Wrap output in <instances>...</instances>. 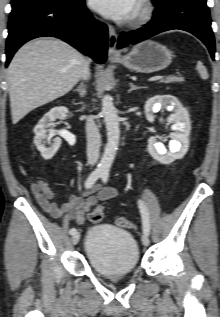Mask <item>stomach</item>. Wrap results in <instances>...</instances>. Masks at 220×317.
I'll list each match as a JSON object with an SVG mask.
<instances>
[{"label": "stomach", "mask_w": 220, "mask_h": 317, "mask_svg": "<svg viewBox=\"0 0 220 317\" xmlns=\"http://www.w3.org/2000/svg\"><path fill=\"white\" fill-rule=\"evenodd\" d=\"M114 60L130 70L148 74L167 68L172 62V52L158 42L145 40L135 45L129 54Z\"/></svg>", "instance_id": "1"}]
</instances>
